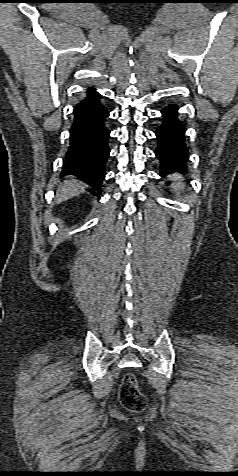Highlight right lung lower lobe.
<instances>
[{
  "label": "right lung lower lobe",
  "mask_w": 238,
  "mask_h": 476,
  "mask_svg": "<svg viewBox=\"0 0 238 476\" xmlns=\"http://www.w3.org/2000/svg\"><path fill=\"white\" fill-rule=\"evenodd\" d=\"M73 116L62 174L77 175L100 193L98 187L105 178V164L110 154L109 111L101 103V95L89 89L74 107Z\"/></svg>",
  "instance_id": "right-lung-lower-lobe-1"
}]
</instances>
